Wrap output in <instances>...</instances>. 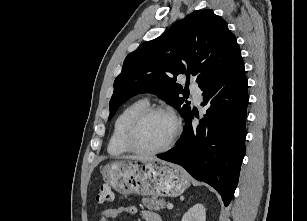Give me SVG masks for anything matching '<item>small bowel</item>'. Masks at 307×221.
<instances>
[{
	"label": "small bowel",
	"instance_id": "1",
	"mask_svg": "<svg viewBox=\"0 0 307 221\" xmlns=\"http://www.w3.org/2000/svg\"><path fill=\"white\" fill-rule=\"evenodd\" d=\"M138 212V209L134 205H123L119 207L108 208L102 211L99 221H108L118 217L121 214L134 215ZM142 216L145 221H163L161 216L151 210H143Z\"/></svg>",
	"mask_w": 307,
	"mask_h": 221
}]
</instances>
